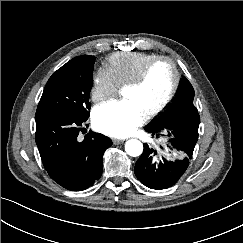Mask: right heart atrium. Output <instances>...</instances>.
Segmentation results:
<instances>
[{"mask_svg": "<svg viewBox=\"0 0 243 243\" xmlns=\"http://www.w3.org/2000/svg\"><path fill=\"white\" fill-rule=\"evenodd\" d=\"M119 85L106 68L93 73L90 95L94 102L101 103L116 96Z\"/></svg>", "mask_w": 243, "mask_h": 243, "instance_id": "obj_1", "label": "right heart atrium"}]
</instances>
